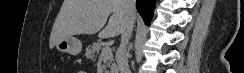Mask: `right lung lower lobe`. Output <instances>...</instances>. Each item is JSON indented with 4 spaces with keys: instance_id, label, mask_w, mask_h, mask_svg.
Returning <instances> with one entry per match:
<instances>
[{
    "instance_id": "1",
    "label": "right lung lower lobe",
    "mask_w": 244,
    "mask_h": 73,
    "mask_svg": "<svg viewBox=\"0 0 244 73\" xmlns=\"http://www.w3.org/2000/svg\"><path fill=\"white\" fill-rule=\"evenodd\" d=\"M154 6L155 0H136L137 10L147 25L150 24Z\"/></svg>"
}]
</instances>
